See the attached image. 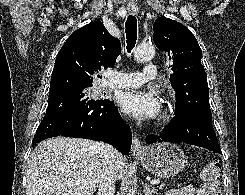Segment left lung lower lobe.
<instances>
[{
  "mask_svg": "<svg viewBox=\"0 0 245 195\" xmlns=\"http://www.w3.org/2000/svg\"><path fill=\"white\" fill-rule=\"evenodd\" d=\"M212 116L199 112L175 115L160 135H149L146 143L172 142L187 143L222 154L212 125Z\"/></svg>",
  "mask_w": 245,
  "mask_h": 195,
  "instance_id": "0a47b994",
  "label": "left lung lower lobe"
}]
</instances>
